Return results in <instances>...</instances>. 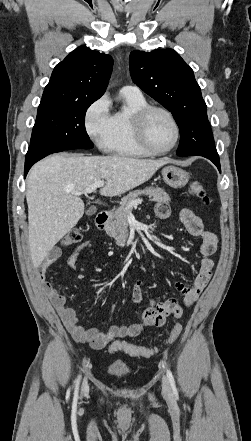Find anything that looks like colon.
<instances>
[{
  "label": "colon",
  "instance_id": "obj_1",
  "mask_svg": "<svg viewBox=\"0 0 251 441\" xmlns=\"http://www.w3.org/2000/svg\"><path fill=\"white\" fill-rule=\"evenodd\" d=\"M189 194L193 197L199 198L205 205H208L210 203V199L207 196L201 181L193 180L190 182ZM81 239L82 231L79 228H73L62 237L60 244L63 247H67L80 242ZM182 330L183 326L180 323L175 324L170 331L167 339L165 340V343H173L181 335ZM109 350L113 353L122 351L132 357H149L158 351V347L139 346L128 343L126 341L117 340L110 345Z\"/></svg>",
  "mask_w": 251,
  "mask_h": 441
}]
</instances>
